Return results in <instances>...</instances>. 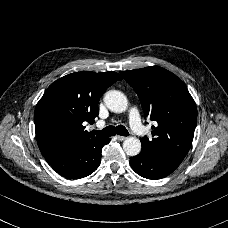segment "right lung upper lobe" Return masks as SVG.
<instances>
[{
    "mask_svg": "<svg viewBox=\"0 0 228 228\" xmlns=\"http://www.w3.org/2000/svg\"><path fill=\"white\" fill-rule=\"evenodd\" d=\"M116 72L82 71L66 75L45 91L34 113L35 132L44 157L58 154L95 138L82 123H94L105 90L121 80Z\"/></svg>",
    "mask_w": 228,
    "mask_h": 228,
    "instance_id": "cb5924a9",
    "label": "right lung upper lobe"
}]
</instances>
